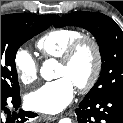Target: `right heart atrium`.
Segmentation results:
<instances>
[{
  "label": "right heart atrium",
  "instance_id": "d8ad5b80",
  "mask_svg": "<svg viewBox=\"0 0 123 123\" xmlns=\"http://www.w3.org/2000/svg\"><path fill=\"white\" fill-rule=\"evenodd\" d=\"M13 64L19 80L30 85L34 83L38 75V62L32 53L25 47L16 50L13 57Z\"/></svg>",
  "mask_w": 123,
  "mask_h": 123
}]
</instances>
